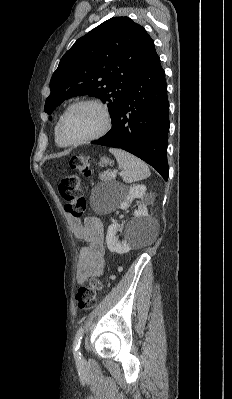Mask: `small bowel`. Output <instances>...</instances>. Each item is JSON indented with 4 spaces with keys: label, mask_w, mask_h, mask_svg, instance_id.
Returning a JSON list of instances; mask_svg holds the SVG:
<instances>
[{
    "label": "small bowel",
    "mask_w": 232,
    "mask_h": 399,
    "mask_svg": "<svg viewBox=\"0 0 232 399\" xmlns=\"http://www.w3.org/2000/svg\"><path fill=\"white\" fill-rule=\"evenodd\" d=\"M102 235L103 224L98 219H87L83 225L75 227V236L88 244L78 253L77 283L79 285H83L95 271H101L103 268Z\"/></svg>",
    "instance_id": "1"
}]
</instances>
